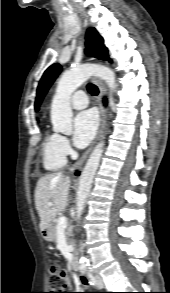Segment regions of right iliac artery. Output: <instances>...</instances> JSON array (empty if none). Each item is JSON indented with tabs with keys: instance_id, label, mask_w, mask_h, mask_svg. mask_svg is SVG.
<instances>
[{
	"instance_id": "82829eb1",
	"label": "right iliac artery",
	"mask_w": 170,
	"mask_h": 293,
	"mask_svg": "<svg viewBox=\"0 0 170 293\" xmlns=\"http://www.w3.org/2000/svg\"><path fill=\"white\" fill-rule=\"evenodd\" d=\"M81 273H82V274H85V273H86V268H82V269H81Z\"/></svg>"
}]
</instances>
